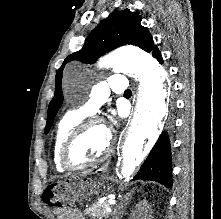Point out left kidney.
Listing matches in <instances>:
<instances>
[{
	"instance_id": "left-kidney-1",
	"label": "left kidney",
	"mask_w": 221,
	"mask_h": 219,
	"mask_svg": "<svg viewBox=\"0 0 221 219\" xmlns=\"http://www.w3.org/2000/svg\"><path fill=\"white\" fill-rule=\"evenodd\" d=\"M150 206L146 200H142L136 206V210L132 214V219H152L150 214Z\"/></svg>"
}]
</instances>
